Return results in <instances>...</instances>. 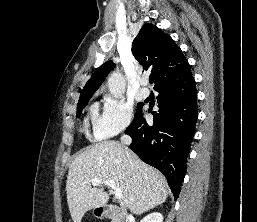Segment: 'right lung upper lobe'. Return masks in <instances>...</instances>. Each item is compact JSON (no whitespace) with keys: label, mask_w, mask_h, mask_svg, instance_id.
I'll return each mask as SVG.
<instances>
[{"label":"right lung upper lobe","mask_w":257,"mask_h":222,"mask_svg":"<svg viewBox=\"0 0 257 222\" xmlns=\"http://www.w3.org/2000/svg\"><path fill=\"white\" fill-rule=\"evenodd\" d=\"M132 54L155 77V88L191 74L190 65L173 39L153 24H145L132 43ZM115 67L112 61L100 66L81 90L78 104L91 97L108 73ZM154 88V89H155Z\"/></svg>","instance_id":"right-lung-upper-lobe-1"}]
</instances>
